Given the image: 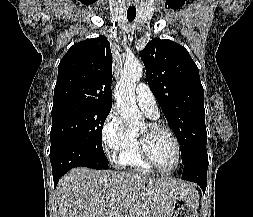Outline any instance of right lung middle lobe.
I'll return each mask as SVG.
<instances>
[{
	"label": "right lung middle lobe",
	"instance_id": "1",
	"mask_svg": "<svg viewBox=\"0 0 253 217\" xmlns=\"http://www.w3.org/2000/svg\"><path fill=\"white\" fill-rule=\"evenodd\" d=\"M111 107L77 101L53 104L51 148L66 142L81 143L108 164L102 148V128Z\"/></svg>",
	"mask_w": 253,
	"mask_h": 217
}]
</instances>
